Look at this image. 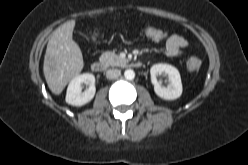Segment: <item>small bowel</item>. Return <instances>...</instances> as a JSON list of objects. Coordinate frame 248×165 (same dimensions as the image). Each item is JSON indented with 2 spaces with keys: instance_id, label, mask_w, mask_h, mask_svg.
I'll use <instances>...</instances> for the list:
<instances>
[{
  "instance_id": "small-bowel-1",
  "label": "small bowel",
  "mask_w": 248,
  "mask_h": 165,
  "mask_svg": "<svg viewBox=\"0 0 248 165\" xmlns=\"http://www.w3.org/2000/svg\"><path fill=\"white\" fill-rule=\"evenodd\" d=\"M145 29L144 35L149 38V36L145 33ZM187 46L188 43L182 36L171 35L167 38L165 43V54L170 58L181 57Z\"/></svg>"
}]
</instances>
